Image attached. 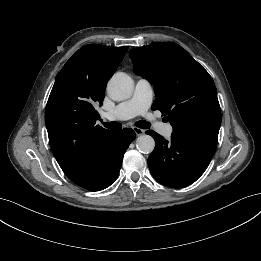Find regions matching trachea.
<instances>
[{"mask_svg": "<svg viewBox=\"0 0 261 261\" xmlns=\"http://www.w3.org/2000/svg\"><path fill=\"white\" fill-rule=\"evenodd\" d=\"M106 128L112 129V130H119L122 128V125L119 122H105L103 123ZM135 125L142 129H148L150 127V123L147 121H137Z\"/></svg>", "mask_w": 261, "mask_h": 261, "instance_id": "1", "label": "trachea"}]
</instances>
